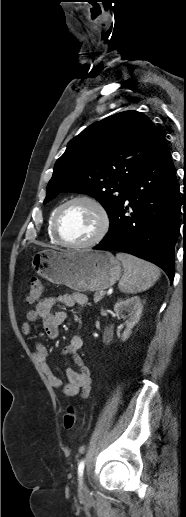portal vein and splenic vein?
<instances>
[{
  "label": "portal vein and splenic vein",
  "instance_id": "1",
  "mask_svg": "<svg viewBox=\"0 0 186 517\" xmlns=\"http://www.w3.org/2000/svg\"><path fill=\"white\" fill-rule=\"evenodd\" d=\"M100 294L105 295L106 292L105 291H100Z\"/></svg>",
  "mask_w": 186,
  "mask_h": 517
}]
</instances>
